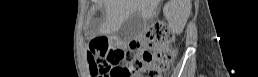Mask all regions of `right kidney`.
Instances as JSON below:
<instances>
[{"label":"right kidney","instance_id":"obj_1","mask_svg":"<svg viewBox=\"0 0 258 77\" xmlns=\"http://www.w3.org/2000/svg\"><path fill=\"white\" fill-rule=\"evenodd\" d=\"M170 24L175 32H181L184 28V23L178 20L175 9L170 13Z\"/></svg>","mask_w":258,"mask_h":77}]
</instances>
